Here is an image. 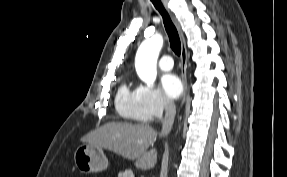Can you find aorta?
Instances as JSON below:
<instances>
[{"mask_svg": "<svg viewBox=\"0 0 287 177\" xmlns=\"http://www.w3.org/2000/svg\"><path fill=\"white\" fill-rule=\"evenodd\" d=\"M163 46V37L159 34L145 40L138 48L135 68L138 76L147 86H153L157 75V58Z\"/></svg>", "mask_w": 287, "mask_h": 177, "instance_id": "1", "label": "aorta"}]
</instances>
